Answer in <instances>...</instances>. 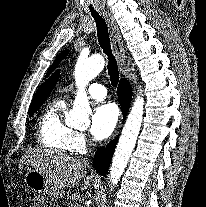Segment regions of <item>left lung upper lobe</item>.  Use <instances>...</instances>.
Listing matches in <instances>:
<instances>
[{"label":"left lung upper lobe","mask_w":206,"mask_h":207,"mask_svg":"<svg viewBox=\"0 0 206 207\" xmlns=\"http://www.w3.org/2000/svg\"><path fill=\"white\" fill-rule=\"evenodd\" d=\"M69 50H64L63 52H61L55 59L54 63L51 65V67L49 68L47 75L48 76L59 64V62L68 54Z\"/></svg>","instance_id":"5c2ea615"}]
</instances>
